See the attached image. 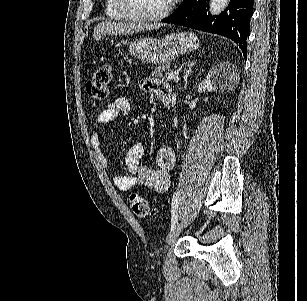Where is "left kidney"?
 Returning <instances> with one entry per match:
<instances>
[{"label":"left kidney","mask_w":307,"mask_h":301,"mask_svg":"<svg viewBox=\"0 0 307 301\" xmlns=\"http://www.w3.org/2000/svg\"><path fill=\"white\" fill-rule=\"evenodd\" d=\"M237 78V68L234 64H216L202 82L197 84V92H213V90H231Z\"/></svg>","instance_id":"left-kidney-1"}]
</instances>
